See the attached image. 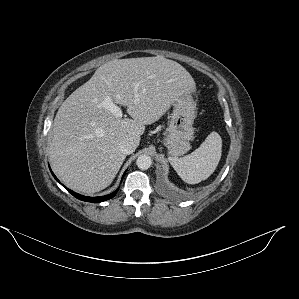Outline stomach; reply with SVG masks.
<instances>
[{"mask_svg": "<svg viewBox=\"0 0 299 299\" xmlns=\"http://www.w3.org/2000/svg\"><path fill=\"white\" fill-rule=\"evenodd\" d=\"M195 117L196 102L191 94L180 96L175 100L171 120L163 139L170 156L178 157L190 150V141L194 139Z\"/></svg>", "mask_w": 299, "mask_h": 299, "instance_id": "1", "label": "stomach"}]
</instances>
